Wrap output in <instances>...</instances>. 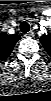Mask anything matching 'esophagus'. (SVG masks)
<instances>
[{
  "label": "esophagus",
  "instance_id": "esophagus-1",
  "mask_svg": "<svg viewBox=\"0 0 51 101\" xmlns=\"http://www.w3.org/2000/svg\"><path fill=\"white\" fill-rule=\"evenodd\" d=\"M34 35L33 31H29L27 33L24 34L25 37L30 38Z\"/></svg>",
  "mask_w": 51,
  "mask_h": 101
}]
</instances>
